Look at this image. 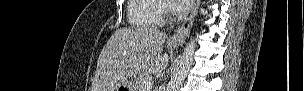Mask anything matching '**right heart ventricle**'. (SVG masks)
<instances>
[{"label":"right heart ventricle","instance_id":"obj_1","mask_svg":"<svg viewBox=\"0 0 304 91\" xmlns=\"http://www.w3.org/2000/svg\"><path fill=\"white\" fill-rule=\"evenodd\" d=\"M160 4L156 0H130L128 18L133 26L154 27L159 19Z\"/></svg>","mask_w":304,"mask_h":91}]
</instances>
